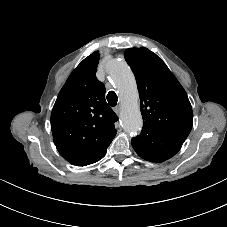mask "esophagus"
<instances>
[{
    "mask_svg": "<svg viewBox=\"0 0 227 227\" xmlns=\"http://www.w3.org/2000/svg\"><path fill=\"white\" fill-rule=\"evenodd\" d=\"M114 112L119 116L121 112V108L119 106L115 107Z\"/></svg>",
    "mask_w": 227,
    "mask_h": 227,
    "instance_id": "34e87169",
    "label": "esophagus"
}]
</instances>
